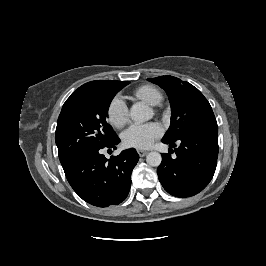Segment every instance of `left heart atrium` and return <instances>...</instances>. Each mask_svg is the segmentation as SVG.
<instances>
[{"label": "left heart atrium", "mask_w": 266, "mask_h": 266, "mask_svg": "<svg viewBox=\"0 0 266 266\" xmlns=\"http://www.w3.org/2000/svg\"><path fill=\"white\" fill-rule=\"evenodd\" d=\"M162 135V128L156 122L133 124L122 135L126 147L136 149L149 148L154 140Z\"/></svg>", "instance_id": "obj_1"}]
</instances>
